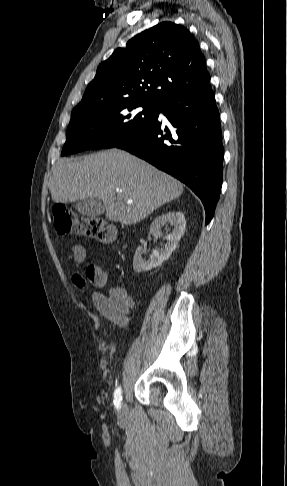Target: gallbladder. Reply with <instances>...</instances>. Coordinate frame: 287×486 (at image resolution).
I'll return each instance as SVG.
<instances>
[{"instance_id":"obj_1","label":"gallbladder","mask_w":287,"mask_h":486,"mask_svg":"<svg viewBox=\"0 0 287 486\" xmlns=\"http://www.w3.org/2000/svg\"><path fill=\"white\" fill-rule=\"evenodd\" d=\"M73 206L79 214L87 217H97L105 211L104 205L98 198L77 200Z\"/></svg>"}]
</instances>
